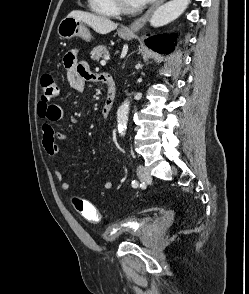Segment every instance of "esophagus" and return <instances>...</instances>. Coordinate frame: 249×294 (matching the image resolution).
<instances>
[{
  "mask_svg": "<svg viewBox=\"0 0 249 294\" xmlns=\"http://www.w3.org/2000/svg\"><path fill=\"white\" fill-rule=\"evenodd\" d=\"M165 0H157L147 11L146 13L135 20L128 26L122 28V31L132 34L139 30L150 18V16L154 13V11L164 2Z\"/></svg>",
  "mask_w": 249,
  "mask_h": 294,
  "instance_id": "34e87169",
  "label": "esophagus"
}]
</instances>
